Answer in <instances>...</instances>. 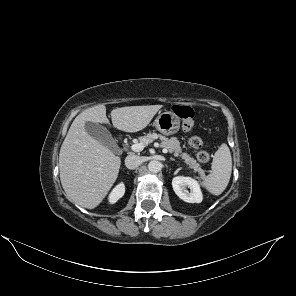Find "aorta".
I'll return each instance as SVG.
<instances>
[{
	"instance_id": "1",
	"label": "aorta",
	"mask_w": 296,
	"mask_h": 296,
	"mask_svg": "<svg viewBox=\"0 0 296 296\" xmlns=\"http://www.w3.org/2000/svg\"><path fill=\"white\" fill-rule=\"evenodd\" d=\"M162 163L157 160H152L148 164V170L152 173H157L161 170Z\"/></svg>"
}]
</instances>
